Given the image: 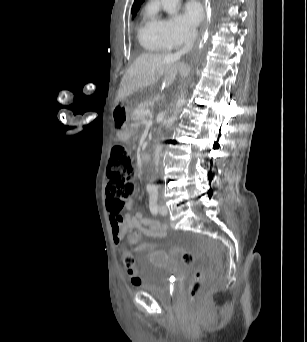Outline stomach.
I'll list each match as a JSON object with an SVG mask.
<instances>
[{
	"label": "stomach",
	"mask_w": 307,
	"mask_h": 342,
	"mask_svg": "<svg viewBox=\"0 0 307 342\" xmlns=\"http://www.w3.org/2000/svg\"><path fill=\"white\" fill-rule=\"evenodd\" d=\"M113 119L116 125L125 130L130 119V110L123 107H115L113 110Z\"/></svg>",
	"instance_id": "obj_1"
}]
</instances>
